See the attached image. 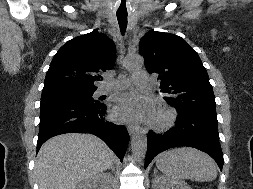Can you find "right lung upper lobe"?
Here are the masks:
<instances>
[{"label": "right lung upper lobe", "instance_id": "cb5924a9", "mask_svg": "<svg viewBox=\"0 0 253 189\" xmlns=\"http://www.w3.org/2000/svg\"><path fill=\"white\" fill-rule=\"evenodd\" d=\"M114 42L97 29L65 43L54 55L46 73L43 91L52 89H93L94 81L114 67Z\"/></svg>", "mask_w": 253, "mask_h": 189}]
</instances>
